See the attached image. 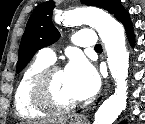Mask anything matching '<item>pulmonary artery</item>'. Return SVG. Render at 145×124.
Instances as JSON below:
<instances>
[{"label":"pulmonary artery","instance_id":"1","mask_svg":"<svg viewBox=\"0 0 145 124\" xmlns=\"http://www.w3.org/2000/svg\"><path fill=\"white\" fill-rule=\"evenodd\" d=\"M73 43L80 47H95L96 36L93 29L79 30L73 37ZM38 56L52 63L55 61V51L52 48L46 47L39 51Z\"/></svg>","mask_w":145,"mask_h":124}]
</instances>
